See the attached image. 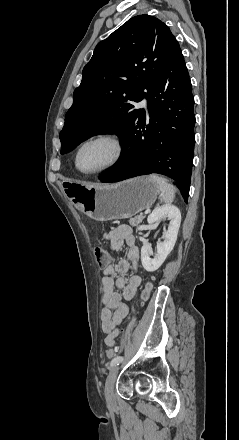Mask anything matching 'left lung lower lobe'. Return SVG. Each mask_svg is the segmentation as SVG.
Here are the masks:
<instances>
[{"instance_id": "1", "label": "left lung lower lobe", "mask_w": 239, "mask_h": 440, "mask_svg": "<svg viewBox=\"0 0 239 440\" xmlns=\"http://www.w3.org/2000/svg\"><path fill=\"white\" fill-rule=\"evenodd\" d=\"M145 97L144 109L120 136L124 150L113 169L99 177L117 182L151 173L171 177L188 200L195 144L194 96L184 58L177 43Z\"/></svg>"}]
</instances>
